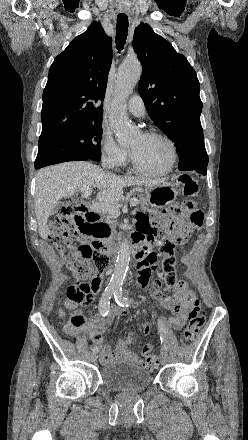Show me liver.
Listing matches in <instances>:
<instances>
[{
    "instance_id": "6515ba94",
    "label": "liver",
    "mask_w": 248,
    "mask_h": 440,
    "mask_svg": "<svg viewBox=\"0 0 248 440\" xmlns=\"http://www.w3.org/2000/svg\"><path fill=\"white\" fill-rule=\"evenodd\" d=\"M163 181L120 177L85 161L65 162L42 168L36 175L34 198L39 235L46 240L50 234L48 218L58 201L72 197L84 187L97 189L98 202L115 205L122 199L124 187L150 186Z\"/></svg>"
}]
</instances>
